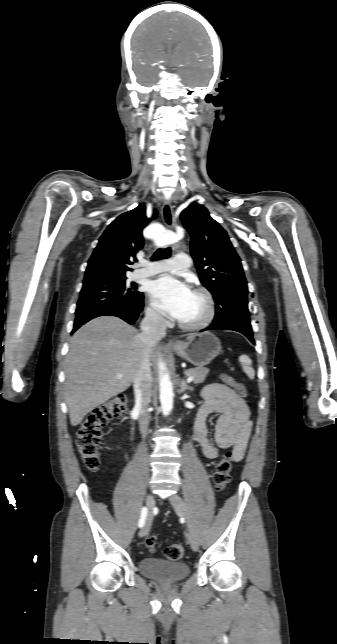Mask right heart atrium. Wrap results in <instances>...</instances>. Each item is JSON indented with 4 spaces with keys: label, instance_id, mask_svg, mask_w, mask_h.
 Instances as JSON below:
<instances>
[{
    "label": "right heart atrium",
    "instance_id": "d8ad5b80",
    "mask_svg": "<svg viewBox=\"0 0 337 644\" xmlns=\"http://www.w3.org/2000/svg\"><path fill=\"white\" fill-rule=\"evenodd\" d=\"M147 319L154 324H160L163 322L162 315L153 307L149 306L146 311Z\"/></svg>",
    "mask_w": 337,
    "mask_h": 644
}]
</instances>
